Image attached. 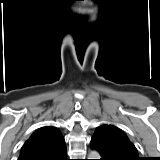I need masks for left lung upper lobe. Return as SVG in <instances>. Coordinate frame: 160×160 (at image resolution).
<instances>
[{"instance_id":"left-lung-upper-lobe-1","label":"left lung upper lobe","mask_w":160,"mask_h":160,"mask_svg":"<svg viewBox=\"0 0 160 160\" xmlns=\"http://www.w3.org/2000/svg\"><path fill=\"white\" fill-rule=\"evenodd\" d=\"M93 137L97 138L108 154L117 160H141L136 147L116 126L103 124L96 129Z\"/></svg>"}]
</instances>
